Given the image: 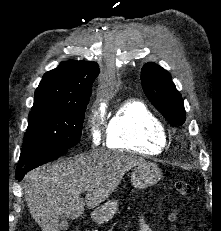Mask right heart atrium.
<instances>
[{
	"label": "right heart atrium",
	"instance_id": "d8ad5b80",
	"mask_svg": "<svg viewBox=\"0 0 221 231\" xmlns=\"http://www.w3.org/2000/svg\"><path fill=\"white\" fill-rule=\"evenodd\" d=\"M104 116L101 111H95L91 118V136L94 143L100 141L103 132Z\"/></svg>",
	"mask_w": 221,
	"mask_h": 231
}]
</instances>
